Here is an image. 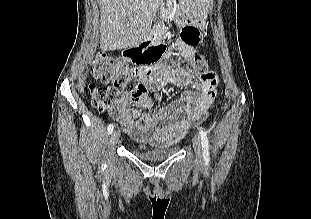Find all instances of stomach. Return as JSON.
<instances>
[{
    "instance_id": "1",
    "label": "stomach",
    "mask_w": 311,
    "mask_h": 219,
    "mask_svg": "<svg viewBox=\"0 0 311 219\" xmlns=\"http://www.w3.org/2000/svg\"><path fill=\"white\" fill-rule=\"evenodd\" d=\"M188 22L194 23V24H200L202 22V19L192 17L188 12H186L181 7V11L175 14V23L179 26H182Z\"/></svg>"
}]
</instances>
